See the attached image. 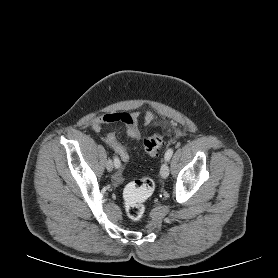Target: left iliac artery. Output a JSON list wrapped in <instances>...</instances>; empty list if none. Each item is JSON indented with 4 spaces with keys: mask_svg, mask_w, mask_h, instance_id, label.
<instances>
[{
    "mask_svg": "<svg viewBox=\"0 0 278 278\" xmlns=\"http://www.w3.org/2000/svg\"><path fill=\"white\" fill-rule=\"evenodd\" d=\"M172 155H173V149L170 148V149H168V150L166 151V153H165V160H166V161H169V159L172 157Z\"/></svg>",
    "mask_w": 278,
    "mask_h": 278,
    "instance_id": "44dca946",
    "label": "left iliac artery"
}]
</instances>
